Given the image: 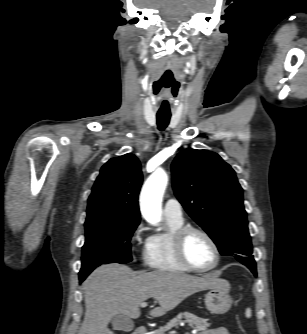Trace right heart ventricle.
Here are the masks:
<instances>
[{
  "instance_id": "e07e8e85",
  "label": "right heart ventricle",
  "mask_w": 307,
  "mask_h": 334,
  "mask_svg": "<svg viewBox=\"0 0 307 334\" xmlns=\"http://www.w3.org/2000/svg\"><path fill=\"white\" fill-rule=\"evenodd\" d=\"M168 231L149 237L144 251L145 264L152 270L183 273L189 271L178 261L173 249V234L183 226V221L176 222L166 218Z\"/></svg>"
}]
</instances>
